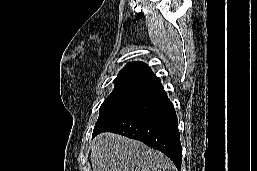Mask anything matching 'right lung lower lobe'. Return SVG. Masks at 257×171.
<instances>
[{"mask_svg":"<svg viewBox=\"0 0 257 171\" xmlns=\"http://www.w3.org/2000/svg\"><path fill=\"white\" fill-rule=\"evenodd\" d=\"M102 132H113L140 140L166 154L181 171L182 146L178 120L161 83L118 110L93 130V137Z\"/></svg>","mask_w":257,"mask_h":171,"instance_id":"obj_1","label":"right lung lower lobe"}]
</instances>
